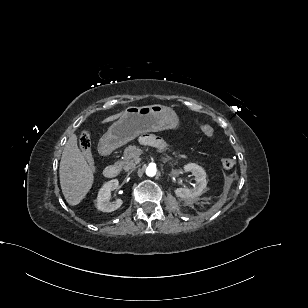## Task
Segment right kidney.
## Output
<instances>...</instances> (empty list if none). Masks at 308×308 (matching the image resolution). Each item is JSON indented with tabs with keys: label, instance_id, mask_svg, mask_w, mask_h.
<instances>
[{
	"label": "right kidney",
	"instance_id": "ca27d5eb",
	"mask_svg": "<svg viewBox=\"0 0 308 308\" xmlns=\"http://www.w3.org/2000/svg\"><path fill=\"white\" fill-rule=\"evenodd\" d=\"M119 182L117 179L106 182L98 192L96 207L103 212H112L117 210L123 204L121 199L110 202L111 191L118 188Z\"/></svg>",
	"mask_w": 308,
	"mask_h": 308
}]
</instances>
